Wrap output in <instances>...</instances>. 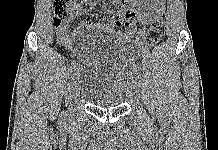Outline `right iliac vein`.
Masks as SVG:
<instances>
[{"mask_svg": "<svg viewBox=\"0 0 218 150\" xmlns=\"http://www.w3.org/2000/svg\"><path fill=\"white\" fill-rule=\"evenodd\" d=\"M70 91H71V96L73 98L78 96L79 86H78L77 78L75 76H73L72 79H71V88H70Z\"/></svg>", "mask_w": 218, "mask_h": 150, "instance_id": "63e3f726", "label": "right iliac vein"}]
</instances>
